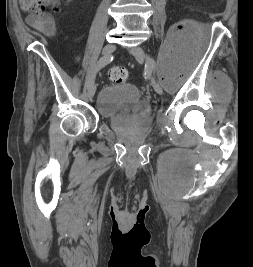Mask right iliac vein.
<instances>
[{
  "label": "right iliac vein",
  "mask_w": 253,
  "mask_h": 267,
  "mask_svg": "<svg viewBox=\"0 0 253 267\" xmlns=\"http://www.w3.org/2000/svg\"><path fill=\"white\" fill-rule=\"evenodd\" d=\"M115 48H116L115 44L108 43L103 48V54L104 55H110L115 51ZM95 92H96V86H95V84L93 82L88 87V97H89V99L93 98V96L95 95Z\"/></svg>",
  "instance_id": "1"
}]
</instances>
